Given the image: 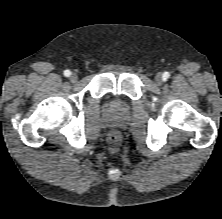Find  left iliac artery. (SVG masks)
Here are the masks:
<instances>
[{"label": "left iliac artery", "instance_id": "44dca946", "mask_svg": "<svg viewBox=\"0 0 222 219\" xmlns=\"http://www.w3.org/2000/svg\"><path fill=\"white\" fill-rule=\"evenodd\" d=\"M169 76H170L169 72H164V74H163V78L164 79L169 78Z\"/></svg>", "mask_w": 222, "mask_h": 219}]
</instances>
